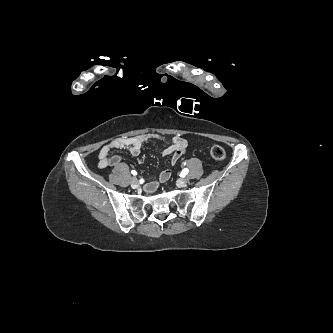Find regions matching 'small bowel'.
I'll return each instance as SVG.
<instances>
[{"label":"small bowel","mask_w":333,"mask_h":333,"mask_svg":"<svg viewBox=\"0 0 333 333\" xmlns=\"http://www.w3.org/2000/svg\"><path fill=\"white\" fill-rule=\"evenodd\" d=\"M150 140L166 141L165 137L158 134H143L134 137H121L114 139L109 144L103 146L98 154V168L116 167L120 164L119 155H111L113 150H127L133 156L141 152L143 144ZM187 150V141L184 138L176 136L169 141V144L161 149V154L170 156L171 164H176ZM171 177V171L166 169L161 172L159 182L165 183ZM158 188L157 181H149L145 185L147 192L153 193Z\"/></svg>","instance_id":"c3829d8e"}]
</instances>
